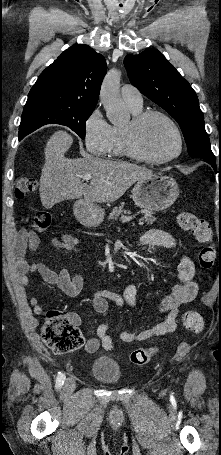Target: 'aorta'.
<instances>
[{
  "label": "aorta",
  "instance_id": "1",
  "mask_svg": "<svg viewBox=\"0 0 221 455\" xmlns=\"http://www.w3.org/2000/svg\"><path fill=\"white\" fill-rule=\"evenodd\" d=\"M120 73L109 71L101 85L100 99L106 110L108 120L114 125L124 124L129 119V113L119 97Z\"/></svg>",
  "mask_w": 221,
  "mask_h": 455
}]
</instances>
